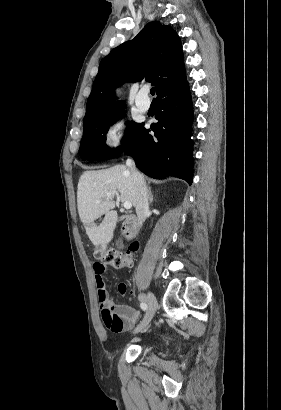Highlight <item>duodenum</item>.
I'll list each match as a JSON object with an SVG mask.
<instances>
[{
  "label": "duodenum",
  "mask_w": 281,
  "mask_h": 410,
  "mask_svg": "<svg viewBox=\"0 0 281 410\" xmlns=\"http://www.w3.org/2000/svg\"><path fill=\"white\" fill-rule=\"evenodd\" d=\"M122 220V229L125 235L128 238H131L133 235V226L136 222V217L134 215H125L121 218Z\"/></svg>",
  "instance_id": "duodenum-1"
}]
</instances>
